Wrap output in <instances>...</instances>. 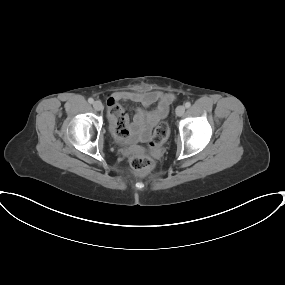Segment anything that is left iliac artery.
<instances>
[{"label":"left iliac artery","mask_w":285,"mask_h":285,"mask_svg":"<svg viewBox=\"0 0 285 285\" xmlns=\"http://www.w3.org/2000/svg\"><path fill=\"white\" fill-rule=\"evenodd\" d=\"M190 106H191V103H190V102H186V103H185V107H186V108H189Z\"/></svg>","instance_id":"obj_1"}]
</instances>
